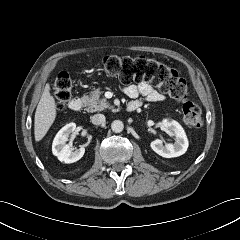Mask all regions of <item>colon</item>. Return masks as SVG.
I'll list each match as a JSON object with an SVG mask.
<instances>
[{
    "label": "colon",
    "mask_w": 240,
    "mask_h": 240,
    "mask_svg": "<svg viewBox=\"0 0 240 240\" xmlns=\"http://www.w3.org/2000/svg\"><path fill=\"white\" fill-rule=\"evenodd\" d=\"M105 72L123 83L147 82L167 93L182 104V115L185 123L191 128H200L202 113L200 108L189 101V90L186 81L179 73L155 59L146 56L119 57L109 55L103 58ZM72 96V81L67 72H61L54 83L55 107L64 111Z\"/></svg>",
    "instance_id": "colon-1"
}]
</instances>
